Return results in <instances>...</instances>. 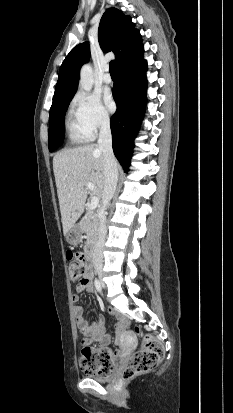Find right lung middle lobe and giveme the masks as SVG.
<instances>
[{
    "label": "right lung middle lobe",
    "instance_id": "obj_1",
    "mask_svg": "<svg viewBox=\"0 0 233 413\" xmlns=\"http://www.w3.org/2000/svg\"><path fill=\"white\" fill-rule=\"evenodd\" d=\"M73 97L66 98L55 104L50 108L49 116V134L48 144L49 151L56 150L64 140V116Z\"/></svg>",
    "mask_w": 233,
    "mask_h": 413
}]
</instances>
